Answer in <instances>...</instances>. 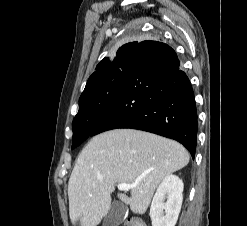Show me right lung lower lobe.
Instances as JSON below:
<instances>
[{"mask_svg":"<svg viewBox=\"0 0 247 226\" xmlns=\"http://www.w3.org/2000/svg\"><path fill=\"white\" fill-rule=\"evenodd\" d=\"M197 127L194 92L176 52L145 40L134 48L119 92L91 136L116 128L149 131L177 140L194 158Z\"/></svg>","mask_w":247,"mask_h":226,"instance_id":"right-lung-lower-lobe-1","label":"right lung lower lobe"}]
</instances>
